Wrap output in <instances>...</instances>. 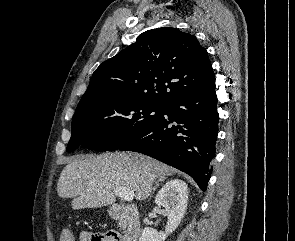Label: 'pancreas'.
I'll use <instances>...</instances> for the list:
<instances>
[{
  "instance_id": "1",
  "label": "pancreas",
  "mask_w": 295,
  "mask_h": 241,
  "mask_svg": "<svg viewBox=\"0 0 295 241\" xmlns=\"http://www.w3.org/2000/svg\"><path fill=\"white\" fill-rule=\"evenodd\" d=\"M119 225H120V227H122V228H123V226H124L123 223H120Z\"/></svg>"
}]
</instances>
